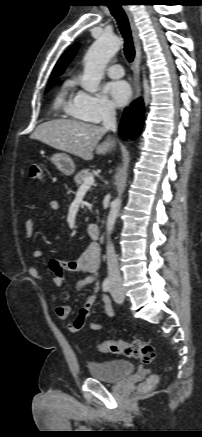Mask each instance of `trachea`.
I'll list each match as a JSON object with an SVG mask.
<instances>
[{
  "label": "trachea",
  "instance_id": "trachea-1",
  "mask_svg": "<svg viewBox=\"0 0 202 437\" xmlns=\"http://www.w3.org/2000/svg\"><path fill=\"white\" fill-rule=\"evenodd\" d=\"M111 14L116 19L119 30L124 38V54L129 62H132L135 57V49L133 46L131 30L128 18L124 10L119 5H108Z\"/></svg>",
  "mask_w": 202,
  "mask_h": 437
}]
</instances>
